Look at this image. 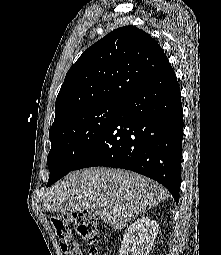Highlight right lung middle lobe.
<instances>
[{
    "label": "right lung middle lobe",
    "instance_id": "1",
    "mask_svg": "<svg viewBox=\"0 0 221 255\" xmlns=\"http://www.w3.org/2000/svg\"><path fill=\"white\" fill-rule=\"evenodd\" d=\"M120 103H103L76 111L52 126L47 164L50 186L68 174L106 129Z\"/></svg>",
    "mask_w": 221,
    "mask_h": 255
}]
</instances>
